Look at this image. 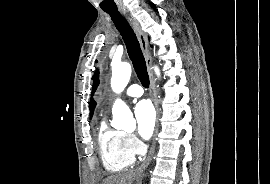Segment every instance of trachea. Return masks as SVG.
<instances>
[{"mask_svg":"<svg viewBox=\"0 0 270 184\" xmlns=\"http://www.w3.org/2000/svg\"><path fill=\"white\" fill-rule=\"evenodd\" d=\"M105 12L110 15L113 23L115 24L125 42L128 55L133 63L137 77L139 78L142 85L148 88L149 76L146 62L136 34L124 16L118 11V9L105 10Z\"/></svg>","mask_w":270,"mask_h":184,"instance_id":"obj_1","label":"trachea"}]
</instances>
